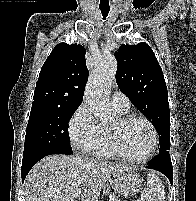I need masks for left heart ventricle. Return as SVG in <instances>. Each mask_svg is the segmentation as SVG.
<instances>
[{"instance_id": "left-heart-ventricle-1", "label": "left heart ventricle", "mask_w": 196, "mask_h": 201, "mask_svg": "<svg viewBox=\"0 0 196 201\" xmlns=\"http://www.w3.org/2000/svg\"><path fill=\"white\" fill-rule=\"evenodd\" d=\"M117 125L118 121L113 125V127H117ZM123 142L126 150L131 156L135 158L143 157L152 147L151 130L144 122H133L124 128Z\"/></svg>"}]
</instances>
